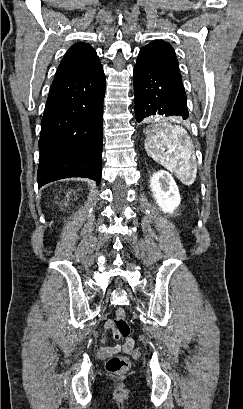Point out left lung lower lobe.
Listing matches in <instances>:
<instances>
[{
	"label": "left lung lower lobe",
	"mask_w": 243,
	"mask_h": 409,
	"mask_svg": "<svg viewBox=\"0 0 243 409\" xmlns=\"http://www.w3.org/2000/svg\"><path fill=\"white\" fill-rule=\"evenodd\" d=\"M133 77L137 122L153 115L188 118L181 77L139 63L135 64Z\"/></svg>",
	"instance_id": "obj_1"
}]
</instances>
